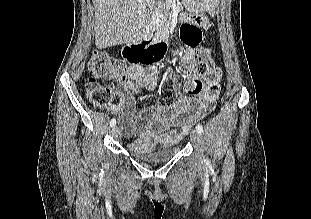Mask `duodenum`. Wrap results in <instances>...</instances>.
<instances>
[{
    "instance_id": "duodenum-1",
    "label": "duodenum",
    "mask_w": 311,
    "mask_h": 219,
    "mask_svg": "<svg viewBox=\"0 0 311 219\" xmlns=\"http://www.w3.org/2000/svg\"><path fill=\"white\" fill-rule=\"evenodd\" d=\"M166 39L161 35L156 28H151L146 31L141 41L132 44L125 50L127 58L132 60L141 55H152L158 49L165 48Z\"/></svg>"
}]
</instances>
